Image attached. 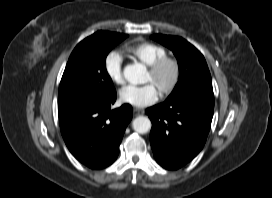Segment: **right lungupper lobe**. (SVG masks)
Returning a JSON list of instances; mask_svg holds the SVG:
<instances>
[{"mask_svg": "<svg viewBox=\"0 0 272 198\" xmlns=\"http://www.w3.org/2000/svg\"><path fill=\"white\" fill-rule=\"evenodd\" d=\"M107 31H98L96 32L95 34L91 35V36H96V35H99V34H102V33H106Z\"/></svg>", "mask_w": 272, "mask_h": 198, "instance_id": "1", "label": "right lung upper lobe"}]
</instances>
